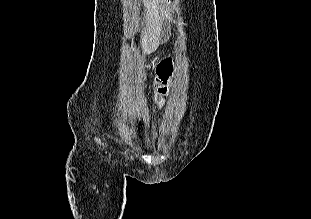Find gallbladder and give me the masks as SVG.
Here are the masks:
<instances>
[{
    "label": "gallbladder",
    "mask_w": 311,
    "mask_h": 219,
    "mask_svg": "<svg viewBox=\"0 0 311 219\" xmlns=\"http://www.w3.org/2000/svg\"><path fill=\"white\" fill-rule=\"evenodd\" d=\"M170 35H171V27L168 23H164L160 31V37H159L160 42L167 41Z\"/></svg>",
    "instance_id": "1"
}]
</instances>
